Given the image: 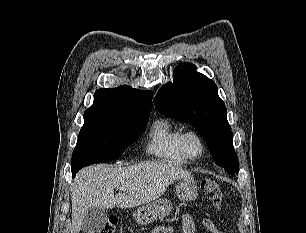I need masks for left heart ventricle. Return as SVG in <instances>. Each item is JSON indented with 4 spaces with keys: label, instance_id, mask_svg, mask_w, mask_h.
<instances>
[{
    "label": "left heart ventricle",
    "instance_id": "b2bd125f",
    "mask_svg": "<svg viewBox=\"0 0 306 233\" xmlns=\"http://www.w3.org/2000/svg\"><path fill=\"white\" fill-rule=\"evenodd\" d=\"M188 149L191 154H198L200 150L199 143L195 139H190L188 142Z\"/></svg>",
    "mask_w": 306,
    "mask_h": 233
}]
</instances>
